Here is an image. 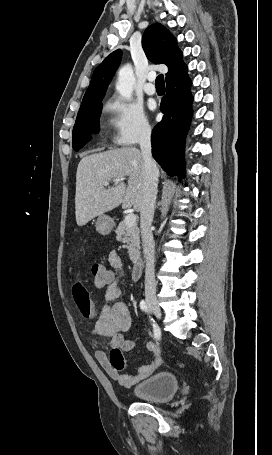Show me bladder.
<instances>
[{"label": "bladder", "instance_id": "obj_1", "mask_svg": "<svg viewBox=\"0 0 272 455\" xmlns=\"http://www.w3.org/2000/svg\"><path fill=\"white\" fill-rule=\"evenodd\" d=\"M178 389L179 380L176 375L162 371L136 385L133 394L140 400L162 402L171 399Z\"/></svg>", "mask_w": 272, "mask_h": 455}]
</instances>
